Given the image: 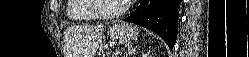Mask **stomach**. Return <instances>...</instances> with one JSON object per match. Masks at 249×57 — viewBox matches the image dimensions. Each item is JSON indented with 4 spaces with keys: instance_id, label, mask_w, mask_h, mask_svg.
<instances>
[{
    "instance_id": "stomach-1",
    "label": "stomach",
    "mask_w": 249,
    "mask_h": 57,
    "mask_svg": "<svg viewBox=\"0 0 249 57\" xmlns=\"http://www.w3.org/2000/svg\"><path fill=\"white\" fill-rule=\"evenodd\" d=\"M108 34L113 41L126 44L138 35V29L132 24L118 23L110 28Z\"/></svg>"
}]
</instances>
